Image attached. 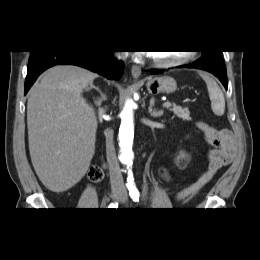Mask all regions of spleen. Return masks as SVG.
<instances>
[{
    "mask_svg": "<svg viewBox=\"0 0 260 260\" xmlns=\"http://www.w3.org/2000/svg\"><path fill=\"white\" fill-rule=\"evenodd\" d=\"M200 76L207 85L213 113L222 116L225 112V99L220 87L208 74L200 72Z\"/></svg>",
    "mask_w": 260,
    "mask_h": 260,
    "instance_id": "obj_1",
    "label": "spleen"
}]
</instances>
